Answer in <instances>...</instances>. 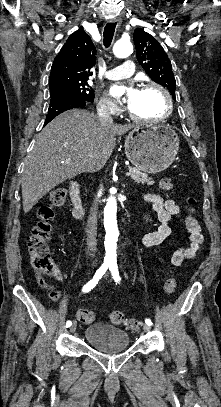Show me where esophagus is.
Segmentation results:
<instances>
[{
    "label": "esophagus",
    "mask_w": 221,
    "mask_h": 407,
    "mask_svg": "<svg viewBox=\"0 0 221 407\" xmlns=\"http://www.w3.org/2000/svg\"><path fill=\"white\" fill-rule=\"evenodd\" d=\"M111 22H112V23H115V22L121 23V18H113V19L111 20Z\"/></svg>",
    "instance_id": "34e87169"
}]
</instances>
